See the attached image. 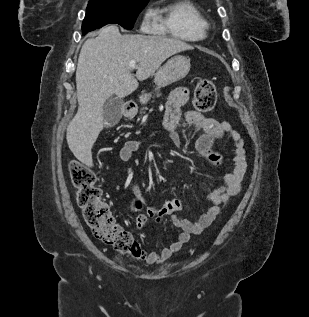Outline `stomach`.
Segmentation results:
<instances>
[{"label":"stomach","mask_w":309,"mask_h":317,"mask_svg":"<svg viewBox=\"0 0 309 317\" xmlns=\"http://www.w3.org/2000/svg\"><path fill=\"white\" fill-rule=\"evenodd\" d=\"M190 66V59L188 57L183 55H176L172 57L156 72L154 78L156 87H166L185 78L190 71ZM149 100L150 95L147 93H142L140 96V102L142 104H147ZM135 114L136 111L128 112L129 117H133Z\"/></svg>","instance_id":"stomach-1"}]
</instances>
